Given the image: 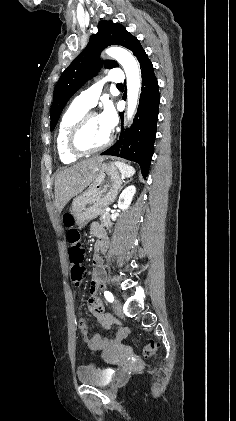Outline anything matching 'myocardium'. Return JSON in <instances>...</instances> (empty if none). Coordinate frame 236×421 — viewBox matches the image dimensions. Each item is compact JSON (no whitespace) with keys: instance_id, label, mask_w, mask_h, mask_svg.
<instances>
[{"instance_id":"obj_1","label":"myocardium","mask_w":236,"mask_h":421,"mask_svg":"<svg viewBox=\"0 0 236 421\" xmlns=\"http://www.w3.org/2000/svg\"><path fill=\"white\" fill-rule=\"evenodd\" d=\"M93 115H99L96 112L93 111H86L84 112L70 127L67 137H66V143L69 151L73 153L74 155L81 157V156H87L92 153L98 152L103 150L104 148L108 147L112 140L113 135L110 132L108 138L100 145L92 147V148H85L81 145L80 142V133L84 126V124L87 122V120L93 116Z\"/></svg>"}]
</instances>
